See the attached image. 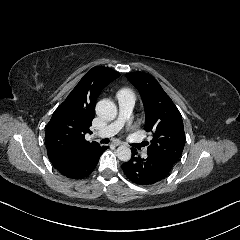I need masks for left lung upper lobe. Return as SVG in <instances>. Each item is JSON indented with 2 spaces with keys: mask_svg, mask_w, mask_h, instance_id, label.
Returning <instances> with one entry per match:
<instances>
[{
  "mask_svg": "<svg viewBox=\"0 0 240 240\" xmlns=\"http://www.w3.org/2000/svg\"><path fill=\"white\" fill-rule=\"evenodd\" d=\"M126 77L138 89L144 103V129L153 136L148 153L174 165L181 157L185 145L179 110L153 76L144 72H132L127 73Z\"/></svg>",
  "mask_w": 240,
  "mask_h": 240,
  "instance_id": "5c2ea615",
  "label": "left lung upper lobe"
}]
</instances>
